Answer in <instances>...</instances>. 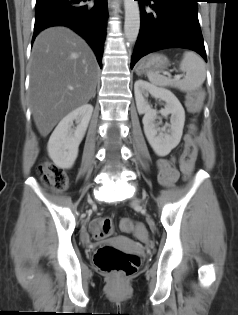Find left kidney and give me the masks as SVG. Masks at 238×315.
Masks as SVG:
<instances>
[{"instance_id":"1","label":"left kidney","mask_w":238,"mask_h":315,"mask_svg":"<svg viewBox=\"0 0 238 315\" xmlns=\"http://www.w3.org/2000/svg\"><path fill=\"white\" fill-rule=\"evenodd\" d=\"M136 106L139 114H144L143 125L145 136L158 156L168 155L180 142L185 122V111L177 97L169 90L158 88L147 81L139 79L134 84ZM152 95L166 102L160 114L167 117L171 114L169 129L158 128L155 120L158 112L150 106L146 97Z\"/></svg>"}]
</instances>
